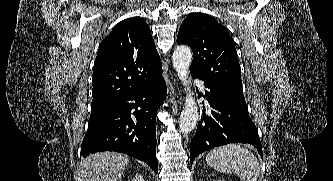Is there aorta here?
Returning <instances> with one entry per match:
<instances>
[{"label":"aorta","instance_id":"1","mask_svg":"<svg viewBox=\"0 0 333 181\" xmlns=\"http://www.w3.org/2000/svg\"><path fill=\"white\" fill-rule=\"evenodd\" d=\"M191 61L192 52L189 47L178 46L174 50L172 55L173 66L178 74L179 79L185 86L186 91L185 105L179 121V130L185 134L191 132L195 128L199 118L198 107L188 81Z\"/></svg>","mask_w":333,"mask_h":181}]
</instances>
